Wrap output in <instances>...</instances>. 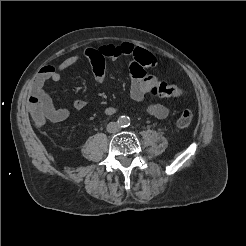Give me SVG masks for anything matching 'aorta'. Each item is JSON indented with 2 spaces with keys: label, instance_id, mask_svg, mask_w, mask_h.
<instances>
[{
  "label": "aorta",
  "instance_id": "obj_1",
  "mask_svg": "<svg viewBox=\"0 0 246 246\" xmlns=\"http://www.w3.org/2000/svg\"><path fill=\"white\" fill-rule=\"evenodd\" d=\"M127 123H128V120H127V119H122V120H121V124H122V125H126Z\"/></svg>",
  "mask_w": 246,
  "mask_h": 246
}]
</instances>
